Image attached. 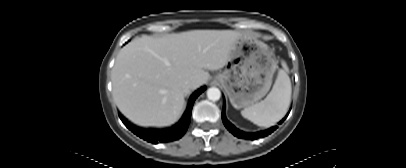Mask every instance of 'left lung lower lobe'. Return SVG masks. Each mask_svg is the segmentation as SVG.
Wrapping results in <instances>:
<instances>
[{"mask_svg":"<svg viewBox=\"0 0 406 168\" xmlns=\"http://www.w3.org/2000/svg\"><path fill=\"white\" fill-rule=\"evenodd\" d=\"M288 114H289V113H288ZM288 114L285 116V118H283V119L279 122V124H281V123L286 119V117L288 116ZM222 120H223V123H224L225 127H226L234 136H236V137H238V138L256 139V138L264 137V136H267V135L271 134V133H272L274 130H276L277 127H278V126H273V127L269 128V129H267V130L259 131V132H255V133L243 132V131L237 129L233 124H231V123L227 120V118H226V116H225V103H224L223 109H222Z\"/></svg>","mask_w":406,"mask_h":168,"instance_id":"left-lung-lower-lobe-1","label":"left lung lower lobe"}]
</instances>
